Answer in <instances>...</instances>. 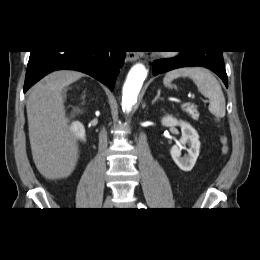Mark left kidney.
<instances>
[{
    "label": "left kidney",
    "instance_id": "obj_1",
    "mask_svg": "<svg viewBox=\"0 0 260 260\" xmlns=\"http://www.w3.org/2000/svg\"><path fill=\"white\" fill-rule=\"evenodd\" d=\"M161 123L166 127L180 126L182 136L179 143L171 148L170 154L181 170L185 172L191 171L200 152V141L197 131L189 123L178 121L170 115L163 117ZM186 145L189 146V149H187L188 154L181 157V151L186 147Z\"/></svg>",
    "mask_w": 260,
    "mask_h": 260
}]
</instances>
